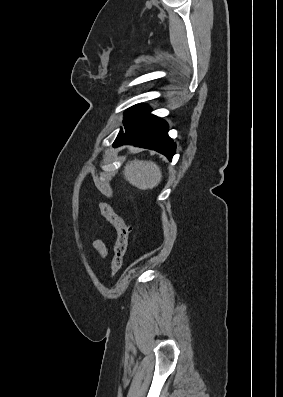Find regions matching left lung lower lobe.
I'll return each instance as SVG.
<instances>
[{
	"instance_id": "obj_1",
	"label": "left lung lower lobe",
	"mask_w": 283,
	"mask_h": 397,
	"mask_svg": "<svg viewBox=\"0 0 283 397\" xmlns=\"http://www.w3.org/2000/svg\"><path fill=\"white\" fill-rule=\"evenodd\" d=\"M132 144L139 147L156 150L168 159L175 154L176 144L168 136V124L148 111L130 128L118 135L113 146Z\"/></svg>"
}]
</instances>
